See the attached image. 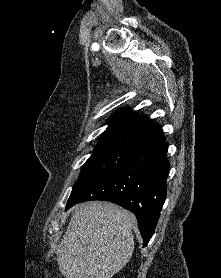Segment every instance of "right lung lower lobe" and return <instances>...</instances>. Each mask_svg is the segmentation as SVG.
Here are the masks:
<instances>
[{"instance_id": "98d812e1", "label": "right lung lower lobe", "mask_w": 221, "mask_h": 278, "mask_svg": "<svg viewBox=\"0 0 221 278\" xmlns=\"http://www.w3.org/2000/svg\"><path fill=\"white\" fill-rule=\"evenodd\" d=\"M167 149L165 141L135 148L128 161L96 182L76 203L103 200L130 210L137 218L146 246L166 199Z\"/></svg>"}]
</instances>
